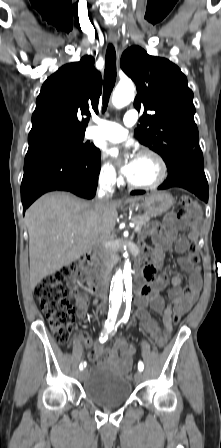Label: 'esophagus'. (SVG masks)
I'll list each match as a JSON object with an SVG mask.
<instances>
[{"mask_svg":"<svg viewBox=\"0 0 221 448\" xmlns=\"http://www.w3.org/2000/svg\"><path fill=\"white\" fill-rule=\"evenodd\" d=\"M107 40H108V42L109 43H112V44H114V45H116V43H117V37L115 36V35H109L108 37H107Z\"/></svg>","mask_w":221,"mask_h":448,"instance_id":"esophagus-1","label":"esophagus"}]
</instances>
